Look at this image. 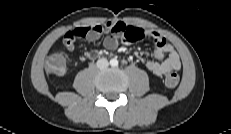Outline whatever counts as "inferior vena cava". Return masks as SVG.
<instances>
[{"label":"inferior vena cava","mask_w":231,"mask_h":134,"mask_svg":"<svg viewBox=\"0 0 231 134\" xmlns=\"http://www.w3.org/2000/svg\"><path fill=\"white\" fill-rule=\"evenodd\" d=\"M97 67L100 68V69H104L106 67H108L109 65V62L106 58H100L98 61H97Z\"/></svg>","instance_id":"1"}]
</instances>
